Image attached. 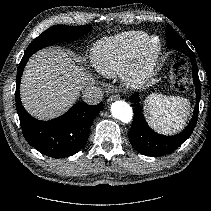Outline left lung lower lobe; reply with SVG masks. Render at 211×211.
Instances as JSON below:
<instances>
[{
	"instance_id": "obj_1",
	"label": "left lung lower lobe",
	"mask_w": 211,
	"mask_h": 211,
	"mask_svg": "<svg viewBox=\"0 0 211 211\" xmlns=\"http://www.w3.org/2000/svg\"><path fill=\"white\" fill-rule=\"evenodd\" d=\"M168 48L176 50L187 55L192 62V74L196 87V105L194 114L186 129L175 136H163L154 132L146 123L142 109L139 104V94L134 93L131 96V102L134 111V119L129 132L131 145L141 154L147 156H163L176 150L192 134L198 118V109L200 101V80L198 77V67L193 52L187 46L183 39L172 37L167 41Z\"/></svg>"
}]
</instances>
